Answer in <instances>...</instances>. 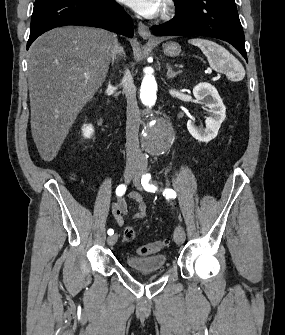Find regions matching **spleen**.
I'll list each match as a JSON object with an SVG mask.
<instances>
[{
  "label": "spleen",
  "instance_id": "obj_1",
  "mask_svg": "<svg viewBox=\"0 0 285 335\" xmlns=\"http://www.w3.org/2000/svg\"><path fill=\"white\" fill-rule=\"evenodd\" d=\"M188 42L189 44H193V46H198V48L202 50L213 70H215V68L226 66L231 60L227 50L221 48V46H218L215 42H210V40H200V38H194V40H188Z\"/></svg>",
  "mask_w": 285,
  "mask_h": 335
}]
</instances>
